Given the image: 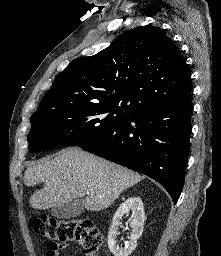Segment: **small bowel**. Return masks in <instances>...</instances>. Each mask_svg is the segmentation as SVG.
I'll list each match as a JSON object with an SVG mask.
<instances>
[{"label": "small bowel", "mask_w": 221, "mask_h": 256, "mask_svg": "<svg viewBox=\"0 0 221 256\" xmlns=\"http://www.w3.org/2000/svg\"><path fill=\"white\" fill-rule=\"evenodd\" d=\"M46 256H59V255L50 254V253L47 251V252H46Z\"/></svg>", "instance_id": "obj_1"}]
</instances>
